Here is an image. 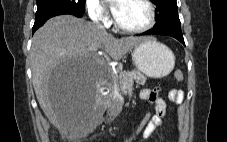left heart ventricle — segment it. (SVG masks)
Returning a JSON list of instances; mask_svg holds the SVG:
<instances>
[{"instance_id":"left-heart-ventricle-1","label":"left heart ventricle","mask_w":227,"mask_h":142,"mask_svg":"<svg viewBox=\"0 0 227 142\" xmlns=\"http://www.w3.org/2000/svg\"><path fill=\"white\" fill-rule=\"evenodd\" d=\"M117 21L126 27H139L146 23L148 11L141 0H124Z\"/></svg>"}]
</instances>
